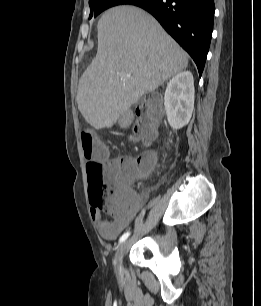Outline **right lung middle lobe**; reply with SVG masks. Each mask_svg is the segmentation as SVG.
<instances>
[{"mask_svg": "<svg viewBox=\"0 0 261 306\" xmlns=\"http://www.w3.org/2000/svg\"><path fill=\"white\" fill-rule=\"evenodd\" d=\"M134 1L135 0H89L91 10L89 18H91L93 15L96 17L110 7L120 4H130Z\"/></svg>", "mask_w": 261, "mask_h": 306, "instance_id": "right-lung-middle-lobe-1", "label": "right lung middle lobe"}]
</instances>
